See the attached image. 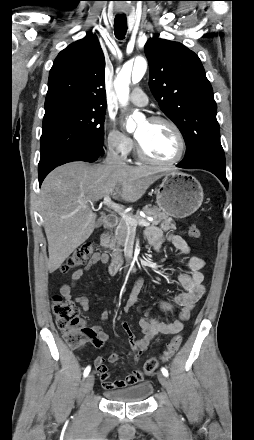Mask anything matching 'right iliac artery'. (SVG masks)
Here are the masks:
<instances>
[{"instance_id": "82829eb1", "label": "right iliac artery", "mask_w": 254, "mask_h": 440, "mask_svg": "<svg viewBox=\"0 0 254 440\" xmlns=\"http://www.w3.org/2000/svg\"><path fill=\"white\" fill-rule=\"evenodd\" d=\"M90 370H91V367H90V366L86 367V369L84 370V374H83L84 377H87V376H88Z\"/></svg>"}]
</instances>
